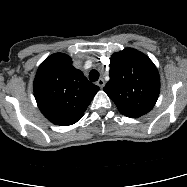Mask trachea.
<instances>
[{
  "label": "trachea",
  "instance_id": "1",
  "mask_svg": "<svg viewBox=\"0 0 187 187\" xmlns=\"http://www.w3.org/2000/svg\"><path fill=\"white\" fill-rule=\"evenodd\" d=\"M99 79V72L97 70H91L89 73V80L95 82Z\"/></svg>",
  "mask_w": 187,
  "mask_h": 187
}]
</instances>
